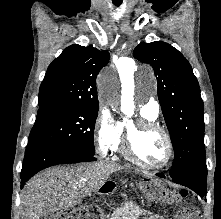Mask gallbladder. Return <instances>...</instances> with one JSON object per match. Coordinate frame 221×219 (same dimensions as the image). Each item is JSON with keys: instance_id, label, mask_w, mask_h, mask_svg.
Wrapping results in <instances>:
<instances>
[{"instance_id": "bac80fb5", "label": "gallbladder", "mask_w": 221, "mask_h": 219, "mask_svg": "<svg viewBox=\"0 0 221 219\" xmlns=\"http://www.w3.org/2000/svg\"><path fill=\"white\" fill-rule=\"evenodd\" d=\"M61 218V212H48L45 216L42 217V219H60Z\"/></svg>"}]
</instances>
